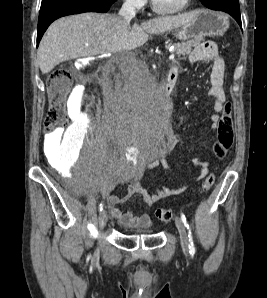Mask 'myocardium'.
I'll list each match as a JSON object with an SVG mask.
<instances>
[{
  "mask_svg": "<svg viewBox=\"0 0 267 298\" xmlns=\"http://www.w3.org/2000/svg\"><path fill=\"white\" fill-rule=\"evenodd\" d=\"M192 0H185L183 5L178 8L177 10H172V11H167V10H163L161 8L158 7V5L156 4L155 0H151V6L152 9L155 13L160 14V15H177V14H181L183 13L190 5Z\"/></svg>",
  "mask_w": 267,
  "mask_h": 298,
  "instance_id": "myocardium-1",
  "label": "myocardium"
}]
</instances>
